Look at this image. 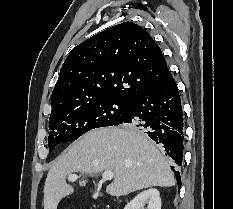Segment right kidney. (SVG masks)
I'll use <instances>...</instances> for the list:
<instances>
[{
	"label": "right kidney",
	"mask_w": 233,
	"mask_h": 209,
	"mask_svg": "<svg viewBox=\"0 0 233 209\" xmlns=\"http://www.w3.org/2000/svg\"><path fill=\"white\" fill-rule=\"evenodd\" d=\"M145 204H148L147 209H161V199L157 189L151 188L141 192L124 209H144Z\"/></svg>",
	"instance_id": "right-kidney-1"
}]
</instances>
